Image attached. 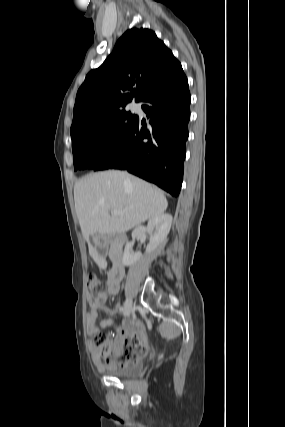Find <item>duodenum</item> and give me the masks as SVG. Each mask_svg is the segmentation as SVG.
<instances>
[{
  "label": "duodenum",
  "mask_w": 285,
  "mask_h": 427,
  "mask_svg": "<svg viewBox=\"0 0 285 427\" xmlns=\"http://www.w3.org/2000/svg\"><path fill=\"white\" fill-rule=\"evenodd\" d=\"M119 246L123 244L124 239L118 238L117 239ZM112 260H113V266L110 270L108 276L112 280L121 279L124 276V268L121 264V254L120 249H115L112 253Z\"/></svg>",
  "instance_id": "1"
}]
</instances>
